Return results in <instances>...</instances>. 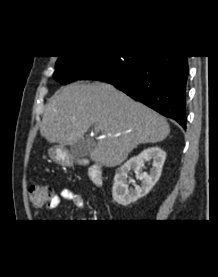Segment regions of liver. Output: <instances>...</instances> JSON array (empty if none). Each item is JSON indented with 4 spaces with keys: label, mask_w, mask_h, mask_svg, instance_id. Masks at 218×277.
<instances>
[{
    "label": "liver",
    "mask_w": 218,
    "mask_h": 277,
    "mask_svg": "<svg viewBox=\"0 0 218 277\" xmlns=\"http://www.w3.org/2000/svg\"><path fill=\"white\" fill-rule=\"evenodd\" d=\"M90 126L100 133L90 158L107 167L120 165L139 144L163 141L166 119L107 83H75L49 100L40 126L50 143L73 145Z\"/></svg>",
    "instance_id": "liver-1"
}]
</instances>
